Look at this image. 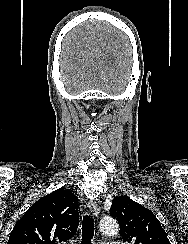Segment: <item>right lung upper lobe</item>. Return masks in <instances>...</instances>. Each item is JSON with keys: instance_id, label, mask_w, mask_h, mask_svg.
Returning <instances> with one entry per match:
<instances>
[{"instance_id": "cb5924a9", "label": "right lung upper lobe", "mask_w": 188, "mask_h": 244, "mask_svg": "<svg viewBox=\"0 0 188 244\" xmlns=\"http://www.w3.org/2000/svg\"><path fill=\"white\" fill-rule=\"evenodd\" d=\"M79 225L78 198L63 188L36 201L15 224L7 244H60Z\"/></svg>"}]
</instances>
